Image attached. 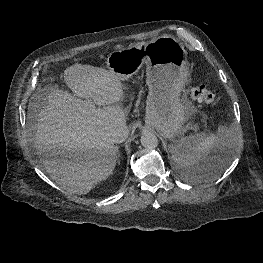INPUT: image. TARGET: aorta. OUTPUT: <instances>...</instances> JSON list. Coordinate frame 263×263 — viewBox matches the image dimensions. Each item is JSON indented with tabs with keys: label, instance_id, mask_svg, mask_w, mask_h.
<instances>
[{
	"label": "aorta",
	"instance_id": "aorta-1",
	"mask_svg": "<svg viewBox=\"0 0 263 263\" xmlns=\"http://www.w3.org/2000/svg\"><path fill=\"white\" fill-rule=\"evenodd\" d=\"M141 145L146 149H154L158 146V138L154 133L145 132L141 136Z\"/></svg>",
	"mask_w": 263,
	"mask_h": 263
}]
</instances>
